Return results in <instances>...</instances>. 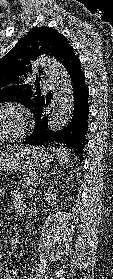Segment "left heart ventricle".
<instances>
[{
  "label": "left heart ventricle",
  "instance_id": "1",
  "mask_svg": "<svg viewBox=\"0 0 113 279\" xmlns=\"http://www.w3.org/2000/svg\"><path fill=\"white\" fill-rule=\"evenodd\" d=\"M20 127L18 115L10 110L0 112V137L15 133Z\"/></svg>",
  "mask_w": 113,
  "mask_h": 279
}]
</instances>
